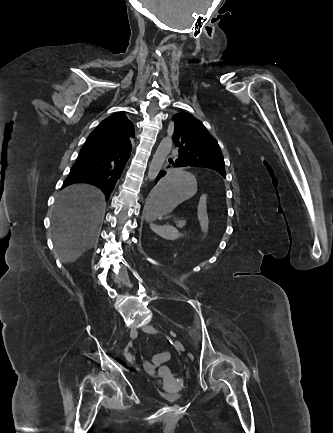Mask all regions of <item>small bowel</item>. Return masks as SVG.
<instances>
[{"instance_id":"obj_1","label":"small bowel","mask_w":333,"mask_h":433,"mask_svg":"<svg viewBox=\"0 0 333 433\" xmlns=\"http://www.w3.org/2000/svg\"><path fill=\"white\" fill-rule=\"evenodd\" d=\"M144 366H145L146 370H147L149 373H154V372H155V369L152 368L148 363H145Z\"/></svg>"}]
</instances>
